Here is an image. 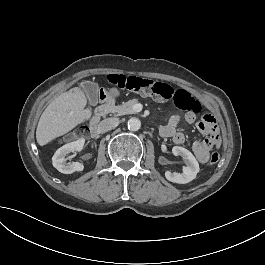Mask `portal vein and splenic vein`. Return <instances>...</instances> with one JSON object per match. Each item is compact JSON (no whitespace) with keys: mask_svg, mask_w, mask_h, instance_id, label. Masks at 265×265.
Here are the masks:
<instances>
[{"mask_svg":"<svg viewBox=\"0 0 265 265\" xmlns=\"http://www.w3.org/2000/svg\"><path fill=\"white\" fill-rule=\"evenodd\" d=\"M144 105L142 103L135 104L132 109L135 112H140L143 109Z\"/></svg>","mask_w":265,"mask_h":265,"instance_id":"portal-vein-and-splenic-vein-1","label":"portal vein and splenic vein"}]
</instances>
